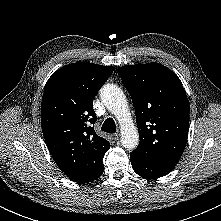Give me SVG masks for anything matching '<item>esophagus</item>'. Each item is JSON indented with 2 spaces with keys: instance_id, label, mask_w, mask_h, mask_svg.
Masks as SVG:
<instances>
[{
  "instance_id": "esophagus-1",
  "label": "esophagus",
  "mask_w": 221,
  "mask_h": 221,
  "mask_svg": "<svg viewBox=\"0 0 221 221\" xmlns=\"http://www.w3.org/2000/svg\"><path fill=\"white\" fill-rule=\"evenodd\" d=\"M112 136H113V139H114L115 141H118V140L120 139V134H119V133H115V134H113Z\"/></svg>"
}]
</instances>
